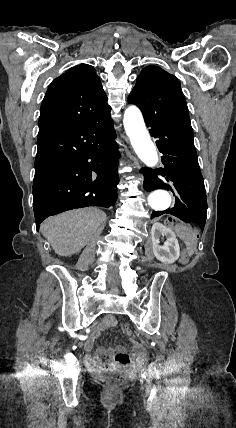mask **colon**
<instances>
[{
	"label": "colon",
	"instance_id": "colon-1",
	"mask_svg": "<svg viewBox=\"0 0 236 428\" xmlns=\"http://www.w3.org/2000/svg\"><path fill=\"white\" fill-rule=\"evenodd\" d=\"M123 331L127 336H131L132 334L131 329L127 326L123 328ZM127 380V375L123 373H114L107 380L108 388L112 391L119 390L127 383Z\"/></svg>",
	"mask_w": 236,
	"mask_h": 428
}]
</instances>
